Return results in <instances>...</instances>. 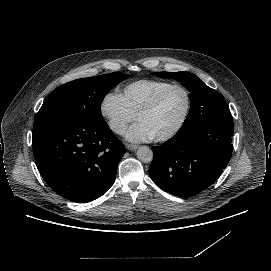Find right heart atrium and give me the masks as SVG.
Here are the masks:
<instances>
[{
    "label": "right heart atrium",
    "mask_w": 271,
    "mask_h": 271,
    "mask_svg": "<svg viewBox=\"0 0 271 271\" xmlns=\"http://www.w3.org/2000/svg\"><path fill=\"white\" fill-rule=\"evenodd\" d=\"M99 112L109 129L122 135L135 116L124 105L121 96L113 90L107 91L99 104Z\"/></svg>",
    "instance_id": "1"
}]
</instances>
